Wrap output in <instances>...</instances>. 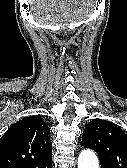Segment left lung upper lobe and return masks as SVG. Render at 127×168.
I'll list each match as a JSON object with an SVG mask.
<instances>
[{"instance_id": "1", "label": "left lung upper lobe", "mask_w": 127, "mask_h": 168, "mask_svg": "<svg viewBox=\"0 0 127 168\" xmlns=\"http://www.w3.org/2000/svg\"><path fill=\"white\" fill-rule=\"evenodd\" d=\"M82 143L97 152L101 167L127 168V134L114 123L90 121L83 131Z\"/></svg>"}]
</instances>
